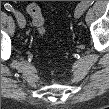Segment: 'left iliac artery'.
<instances>
[{
    "instance_id": "44dca946",
    "label": "left iliac artery",
    "mask_w": 109,
    "mask_h": 109,
    "mask_svg": "<svg viewBox=\"0 0 109 109\" xmlns=\"http://www.w3.org/2000/svg\"><path fill=\"white\" fill-rule=\"evenodd\" d=\"M84 10H86L89 6H91L92 3H90L89 1H86V2H81Z\"/></svg>"
}]
</instances>
